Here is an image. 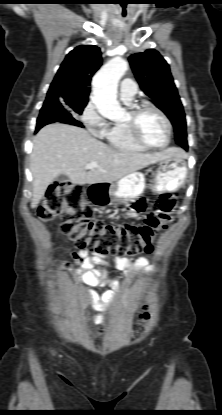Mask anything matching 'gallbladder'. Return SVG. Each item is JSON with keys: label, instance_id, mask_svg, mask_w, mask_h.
<instances>
[{"label": "gallbladder", "instance_id": "obj_1", "mask_svg": "<svg viewBox=\"0 0 222 415\" xmlns=\"http://www.w3.org/2000/svg\"><path fill=\"white\" fill-rule=\"evenodd\" d=\"M58 182H67L68 177L66 175H59L56 179Z\"/></svg>", "mask_w": 222, "mask_h": 415}]
</instances>
